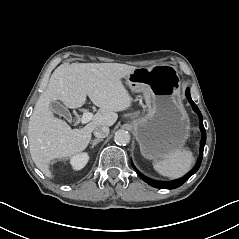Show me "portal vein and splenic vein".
<instances>
[{
    "label": "portal vein and splenic vein",
    "mask_w": 239,
    "mask_h": 239,
    "mask_svg": "<svg viewBox=\"0 0 239 239\" xmlns=\"http://www.w3.org/2000/svg\"><path fill=\"white\" fill-rule=\"evenodd\" d=\"M91 120H92V114L90 112H88V111H84L83 112V116H82V118L80 120V123L82 125H84V124L90 122Z\"/></svg>",
    "instance_id": "portal-vein-and-splenic-vein-1"
}]
</instances>
